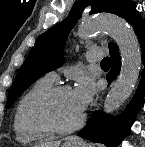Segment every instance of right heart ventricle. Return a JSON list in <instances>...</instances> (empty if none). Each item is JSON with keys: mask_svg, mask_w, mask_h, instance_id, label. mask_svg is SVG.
I'll use <instances>...</instances> for the list:
<instances>
[{"mask_svg": "<svg viewBox=\"0 0 145 147\" xmlns=\"http://www.w3.org/2000/svg\"><path fill=\"white\" fill-rule=\"evenodd\" d=\"M54 86V80L44 76L38 79L23 95L14 113L13 128L16 139L22 143H33L48 138L52 133L29 118L31 101L40 93Z\"/></svg>", "mask_w": 145, "mask_h": 147, "instance_id": "1", "label": "right heart ventricle"}]
</instances>
